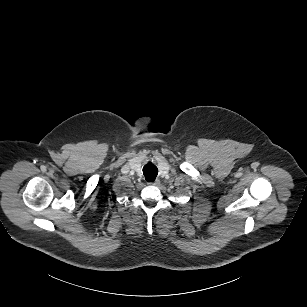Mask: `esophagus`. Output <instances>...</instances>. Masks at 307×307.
<instances>
[{"mask_svg":"<svg viewBox=\"0 0 307 307\" xmlns=\"http://www.w3.org/2000/svg\"><path fill=\"white\" fill-rule=\"evenodd\" d=\"M160 180L159 179H156L155 181H153V182H148V185H154V186H158V185H160Z\"/></svg>","mask_w":307,"mask_h":307,"instance_id":"esophagus-1","label":"esophagus"}]
</instances>
